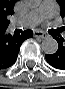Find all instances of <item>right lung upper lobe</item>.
<instances>
[{
  "label": "right lung upper lobe",
  "instance_id": "1",
  "mask_svg": "<svg viewBox=\"0 0 65 89\" xmlns=\"http://www.w3.org/2000/svg\"><path fill=\"white\" fill-rule=\"evenodd\" d=\"M15 2L16 0H0V29L8 27L7 17L13 14Z\"/></svg>",
  "mask_w": 65,
  "mask_h": 89
}]
</instances>
